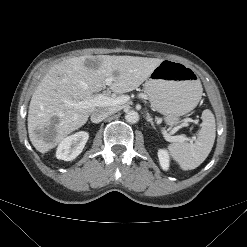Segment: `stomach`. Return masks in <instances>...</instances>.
<instances>
[{"mask_svg": "<svg viewBox=\"0 0 247 247\" xmlns=\"http://www.w3.org/2000/svg\"><path fill=\"white\" fill-rule=\"evenodd\" d=\"M144 89L151 106L164 115L169 126H177L180 117L193 110L202 96L195 70L173 60H162L146 79Z\"/></svg>", "mask_w": 247, "mask_h": 247, "instance_id": "stomach-1", "label": "stomach"}]
</instances>
